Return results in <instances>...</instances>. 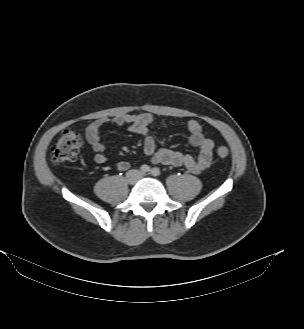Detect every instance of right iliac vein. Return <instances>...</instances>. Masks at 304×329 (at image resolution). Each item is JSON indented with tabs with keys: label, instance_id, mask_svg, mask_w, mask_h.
<instances>
[{
	"label": "right iliac vein",
	"instance_id": "1",
	"mask_svg": "<svg viewBox=\"0 0 304 329\" xmlns=\"http://www.w3.org/2000/svg\"><path fill=\"white\" fill-rule=\"evenodd\" d=\"M128 182L129 183H133L135 180V173L131 172L128 176H127Z\"/></svg>",
	"mask_w": 304,
	"mask_h": 329
}]
</instances>
